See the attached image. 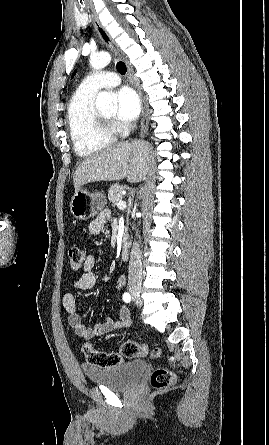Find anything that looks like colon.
I'll return each instance as SVG.
<instances>
[{"mask_svg":"<svg viewBox=\"0 0 269 445\" xmlns=\"http://www.w3.org/2000/svg\"><path fill=\"white\" fill-rule=\"evenodd\" d=\"M69 265L72 270H79L83 267L85 254L79 247H72L68 251ZM82 352L85 355L87 363L108 368L121 364L124 359H133L147 355L148 348L145 344L135 341H125L120 345L119 353L104 352L93 349L90 345L82 346ZM153 357L158 358L161 355L159 348L151 351ZM175 381V375L166 368L155 369L150 376V384L155 389H164L171 386Z\"/></svg>","mask_w":269,"mask_h":445,"instance_id":"obj_1","label":"colon"}]
</instances>
